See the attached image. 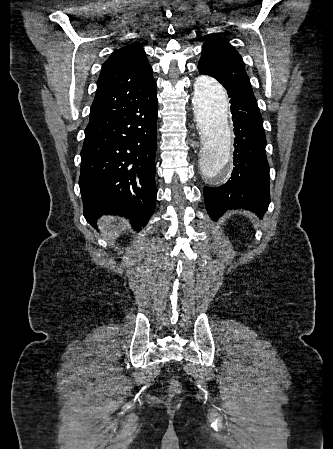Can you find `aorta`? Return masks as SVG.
Returning a JSON list of instances; mask_svg holds the SVG:
<instances>
[{
	"mask_svg": "<svg viewBox=\"0 0 333 449\" xmlns=\"http://www.w3.org/2000/svg\"><path fill=\"white\" fill-rule=\"evenodd\" d=\"M193 105L203 136V147L197 157L198 169L204 182L217 187L232 161L229 98L220 83L201 75L195 81Z\"/></svg>",
	"mask_w": 333,
	"mask_h": 449,
	"instance_id": "obj_1",
	"label": "aorta"
}]
</instances>
